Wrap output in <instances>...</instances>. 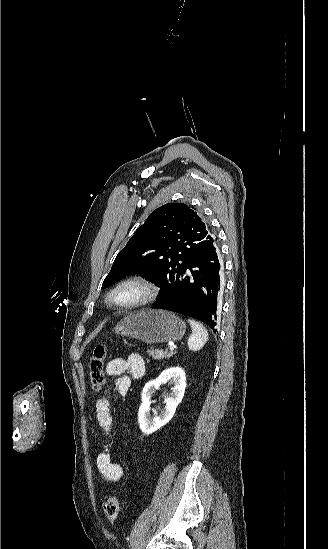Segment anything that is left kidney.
<instances>
[{
  "label": "left kidney",
  "mask_w": 328,
  "mask_h": 549,
  "mask_svg": "<svg viewBox=\"0 0 328 549\" xmlns=\"http://www.w3.org/2000/svg\"><path fill=\"white\" fill-rule=\"evenodd\" d=\"M168 383V385H174L172 387L170 397L164 399L165 407L164 411L160 415H150L151 411V399L156 389H159L160 385ZM186 387V377L183 369L180 367H171V369H165L155 381H149L146 383L141 395L142 405L138 411V423H140V429L144 435H151L163 425H166L170 419H172L179 403H181Z\"/></svg>",
  "instance_id": "1"
}]
</instances>
